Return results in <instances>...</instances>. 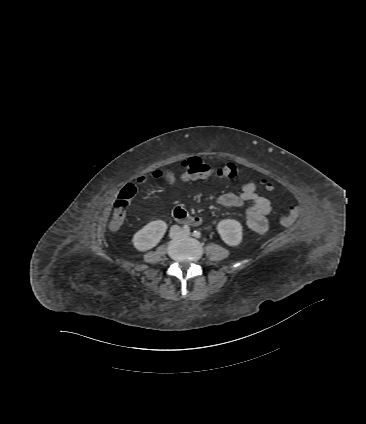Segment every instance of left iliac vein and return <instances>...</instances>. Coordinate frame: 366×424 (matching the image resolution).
Returning <instances> with one entry per match:
<instances>
[{
	"label": "left iliac vein",
	"instance_id": "left-iliac-vein-1",
	"mask_svg": "<svg viewBox=\"0 0 366 424\" xmlns=\"http://www.w3.org/2000/svg\"><path fill=\"white\" fill-rule=\"evenodd\" d=\"M183 235H184V236H189V235H190V233H189V232H184V233H183Z\"/></svg>",
	"mask_w": 366,
	"mask_h": 424
}]
</instances>
